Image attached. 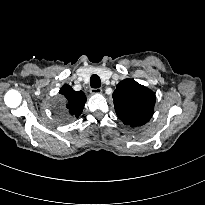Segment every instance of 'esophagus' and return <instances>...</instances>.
<instances>
[{
  "label": "esophagus",
  "instance_id": "34e87169",
  "mask_svg": "<svg viewBox=\"0 0 205 205\" xmlns=\"http://www.w3.org/2000/svg\"><path fill=\"white\" fill-rule=\"evenodd\" d=\"M90 92L93 95H98V94L102 93V89L101 88H91Z\"/></svg>",
  "mask_w": 205,
  "mask_h": 205
}]
</instances>
